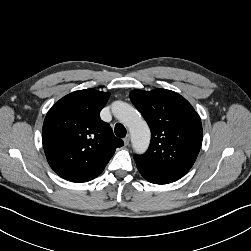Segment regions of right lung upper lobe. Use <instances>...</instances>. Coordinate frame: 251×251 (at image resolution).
I'll return each instance as SVG.
<instances>
[{
  "mask_svg": "<svg viewBox=\"0 0 251 251\" xmlns=\"http://www.w3.org/2000/svg\"><path fill=\"white\" fill-rule=\"evenodd\" d=\"M109 93L94 89L72 92L48 111L42 142L51 168L71 182H87L105 168L123 141L116 138L100 111Z\"/></svg>",
  "mask_w": 251,
  "mask_h": 251,
  "instance_id": "1",
  "label": "right lung upper lobe"
}]
</instances>
